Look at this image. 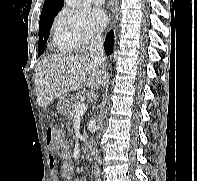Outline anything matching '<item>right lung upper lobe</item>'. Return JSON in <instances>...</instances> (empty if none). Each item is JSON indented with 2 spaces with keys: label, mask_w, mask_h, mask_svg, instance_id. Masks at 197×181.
<instances>
[{
  "label": "right lung upper lobe",
  "mask_w": 197,
  "mask_h": 181,
  "mask_svg": "<svg viewBox=\"0 0 197 181\" xmlns=\"http://www.w3.org/2000/svg\"><path fill=\"white\" fill-rule=\"evenodd\" d=\"M64 0H45L41 16L57 14L63 6Z\"/></svg>",
  "instance_id": "right-lung-upper-lobe-1"
}]
</instances>
